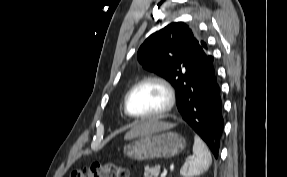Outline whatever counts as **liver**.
<instances>
[{"label": "liver", "instance_id": "liver-1", "mask_svg": "<svg viewBox=\"0 0 287 177\" xmlns=\"http://www.w3.org/2000/svg\"><path fill=\"white\" fill-rule=\"evenodd\" d=\"M174 125L164 122H159L156 119L144 121L134 128H132L126 135L125 139L129 140L144 134L157 132L161 130H166L172 128Z\"/></svg>", "mask_w": 287, "mask_h": 177}]
</instances>
